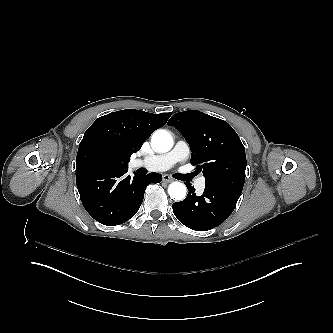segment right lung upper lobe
<instances>
[{
    "label": "right lung upper lobe",
    "mask_w": 333,
    "mask_h": 333,
    "mask_svg": "<svg viewBox=\"0 0 333 333\" xmlns=\"http://www.w3.org/2000/svg\"><path fill=\"white\" fill-rule=\"evenodd\" d=\"M170 116L171 113L126 109L99 117L86 130L79 144L76 169L91 167L95 157L107 159L114 168H128L131 154L138 151Z\"/></svg>",
    "instance_id": "right-lung-upper-lobe-1"
}]
</instances>
